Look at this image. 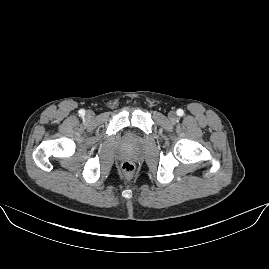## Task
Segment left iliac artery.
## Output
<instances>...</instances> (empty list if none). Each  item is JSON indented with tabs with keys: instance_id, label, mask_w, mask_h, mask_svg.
<instances>
[{
	"instance_id": "obj_1",
	"label": "left iliac artery",
	"mask_w": 269,
	"mask_h": 269,
	"mask_svg": "<svg viewBox=\"0 0 269 269\" xmlns=\"http://www.w3.org/2000/svg\"><path fill=\"white\" fill-rule=\"evenodd\" d=\"M183 114H184V111L182 109L177 110V115L178 116H183Z\"/></svg>"
}]
</instances>
